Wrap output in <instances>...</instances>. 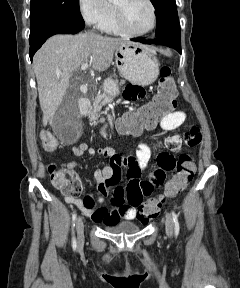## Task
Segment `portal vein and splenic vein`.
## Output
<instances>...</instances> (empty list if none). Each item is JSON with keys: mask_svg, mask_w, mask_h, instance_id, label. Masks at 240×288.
<instances>
[{"mask_svg": "<svg viewBox=\"0 0 240 288\" xmlns=\"http://www.w3.org/2000/svg\"><path fill=\"white\" fill-rule=\"evenodd\" d=\"M88 66H89L88 63H84V64L81 65V68H80V69H81L82 71H84V70H86V69L88 68Z\"/></svg>", "mask_w": 240, "mask_h": 288, "instance_id": "18ae733b", "label": "portal vein and splenic vein"}]
</instances>
